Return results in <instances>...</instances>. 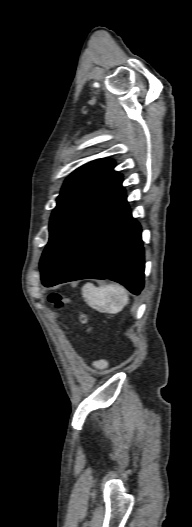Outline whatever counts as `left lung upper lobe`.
I'll list each match as a JSON object with an SVG mask.
<instances>
[{"label":"left lung upper lobe","instance_id":"left-lung-upper-lobe-1","mask_svg":"<svg viewBox=\"0 0 192 527\" xmlns=\"http://www.w3.org/2000/svg\"><path fill=\"white\" fill-rule=\"evenodd\" d=\"M114 162L99 159L75 170L64 182L50 219L49 242L40 261L41 278L62 254L77 230L121 181Z\"/></svg>","mask_w":192,"mask_h":527}]
</instances>
